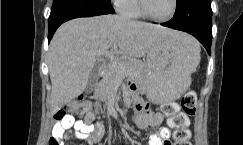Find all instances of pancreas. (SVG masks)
I'll use <instances>...</instances> for the list:
<instances>
[{
    "label": "pancreas",
    "instance_id": "obj_1",
    "mask_svg": "<svg viewBox=\"0 0 243 145\" xmlns=\"http://www.w3.org/2000/svg\"><path fill=\"white\" fill-rule=\"evenodd\" d=\"M124 65L126 72L132 77L143 80L145 77L144 64L141 61L135 60H120ZM122 73L119 69V64L112 62L104 70L103 79L98 85L97 94L100 98H104L114 91L121 79Z\"/></svg>",
    "mask_w": 243,
    "mask_h": 145
}]
</instances>
